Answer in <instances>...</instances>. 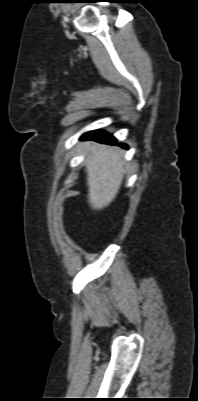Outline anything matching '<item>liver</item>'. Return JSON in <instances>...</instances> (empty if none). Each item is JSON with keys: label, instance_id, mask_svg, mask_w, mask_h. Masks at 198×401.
I'll return each instance as SVG.
<instances>
[{"label": "liver", "instance_id": "obj_1", "mask_svg": "<svg viewBox=\"0 0 198 401\" xmlns=\"http://www.w3.org/2000/svg\"><path fill=\"white\" fill-rule=\"evenodd\" d=\"M89 151L85 170L87 172L88 202L92 209L102 210L116 197L124 177L122 152L117 148H107L86 143Z\"/></svg>", "mask_w": 198, "mask_h": 401}]
</instances>
